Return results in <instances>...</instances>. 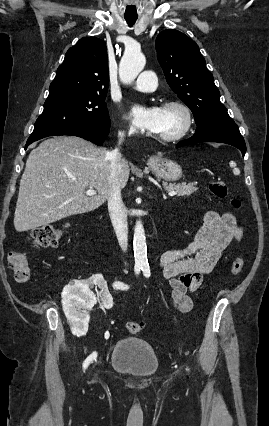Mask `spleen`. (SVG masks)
Listing matches in <instances>:
<instances>
[{
	"instance_id": "spleen-1",
	"label": "spleen",
	"mask_w": 269,
	"mask_h": 426,
	"mask_svg": "<svg viewBox=\"0 0 269 426\" xmlns=\"http://www.w3.org/2000/svg\"><path fill=\"white\" fill-rule=\"evenodd\" d=\"M230 167L233 168V174L234 175H239L240 174V170L236 167V163L234 161H230L229 163Z\"/></svg>"
}]
</instances>
